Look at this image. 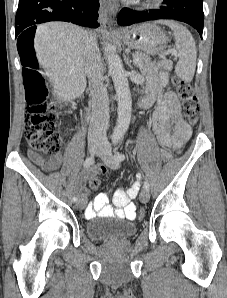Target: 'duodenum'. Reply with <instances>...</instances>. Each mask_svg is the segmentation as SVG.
Instances as JSON below:
<instances>
[{"label": "duodenum", "mask_w": 227, "mask_h": 298, "mask_svg": "<svg viewBox=\"0 0 227 298\" xmlns=\"http://www.w3.org/2000/svg\"><path fill=\"white\" fill-rule=\"evenodd\" d=\"M139 105L143 107V103L141 101H140Z\"/></svg>", "instance_id": "obj_1"}]
</instances>
